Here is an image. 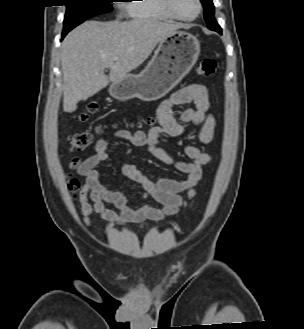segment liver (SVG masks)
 I'll return each instance as SVG.
<instances>
[{"label": "liver", "instance_id": "1", "mask_svg": "<svg viewBox=\"0 0 304 329\" xmlns=\"http://www.w3.org/2000/svg\"><path fill=\"white\" fill-rule=\"evenodd\" d=\"M181 27L150 19L87 21L76 27L61 46L64 111L74 112L80 100H87L109 82H120ZM106 68L109 76L104 73Z\"/></svg>", "mask_w": 304, "mask_h": 329}]
</instances>
